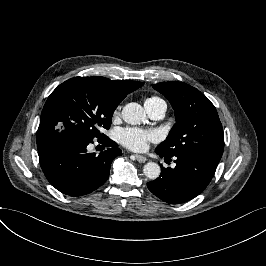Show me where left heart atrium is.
Segmentation results:
<instances>
[{"mask_svg": "<svg viewBox=\"0 0 266 266\" xmlns=\"http://www.w3.org/2000/svg\"><path fill=\"white\" fill-rule=\"evenodd\" d=\"M118 141L133 151H144L150 142L158 139V133L154 130H142L137 128H120L117 131Z\"/></svg>", "mask_w": 266, "mask_h": 266, "instance_id": "left-heart-atrium-1", "label": "left heart atrium"}]
</instances>
